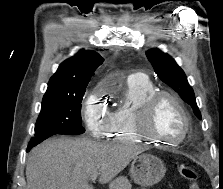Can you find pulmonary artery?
Here are the masks:
<instances>
[{"instance_id": "obj_1", "label": "pulmonary artery", "mask_w": 223, "mask_h": 189, "mask_svg": "<svg viewBox=\"0 0 223 189\" xmlns=\"http://www.w3.org/2000/svg\"><path fill=\"white\" fill-rule=\"evenodd\" d=\"M145 80L146 76L143 73H134L129 77L128 82H143Z\"/></svg>"}]
</instances>
